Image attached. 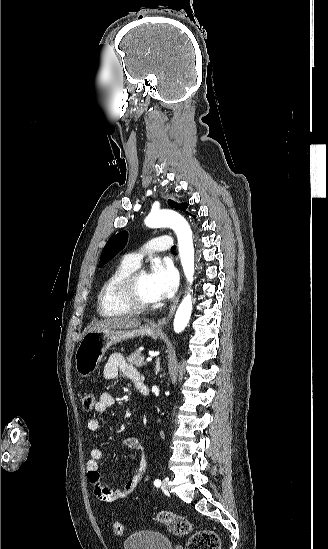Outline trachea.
<instances>
[{
    "instance_id": "obj_1",
    "label": "trachea",
    "mask_w": 328,
    "mask_h": 549,
    "mask_svg": "<svg viewBox=\"0 0 328 549\" xmlns=\"http://www.w3.org/2000/svg\"><path fill=\"white\" fill-rule=\"evenodd\" d=\"M175 249H176V247H175V245H173L172 248H171V250H172V251H175Z\"/></svg>"
}]
</instances>
